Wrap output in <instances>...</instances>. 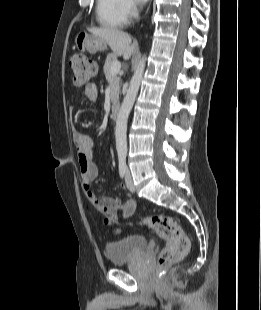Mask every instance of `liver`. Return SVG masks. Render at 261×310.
<instances>
[{"instance_id": "6515ba94", "label": "liver", "mask_w": 261, "mask_h": 310, "mask_svg": "<svg viewBox=\"0 0 261 310\" xmlns=\"http://www.w3.org/2000/svg\"><path fill=\"white\" fill-rule=\"evenodd\" d=\"M92 35L104 40L116 55H122L124 60H129L134 52L131 37L128 33L116 28H90Z\"/></svg>"}]
</instances>
